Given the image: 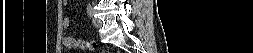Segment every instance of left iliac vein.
Listing matches in <instances>:
<instances>
[{"label":"left iliac vein","mask_w":253,"mask_h":53,"mask_svg":"<svg viewBox=\"0 0 253 53\" xmlns=\"http://www.w3.org/2000/svg\"><path fill=\"white\" fill-rule=\"evenodd\" d=\"M92 22H93V25H94L96 28H100L101 25H102L101 20L98 19V18H93V19H92Z\"/></svg>","instance_id":"4c4485c4"}]
</instances>
